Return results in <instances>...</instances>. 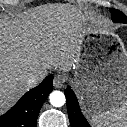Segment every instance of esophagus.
I'll list each match as a JSON object with an SVG mask.
<instances>
[{
    "label": "esophagus",
    "mask_w": 127,
    "mask_h": 127,
    "mask_svg": "<svg viewBox=\"0 0 127 127\" xmlns=\"http://www.w3.org/2000/svg\"><path fill=\"white\" fill-rule=\"evenodd\" d=\"M65 82V76L62 74H58L55 76L53 85L55 88H61Z\"/></svg>",
    "instance_id": "obj_1"
}]
</instances>
